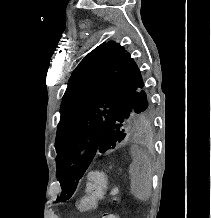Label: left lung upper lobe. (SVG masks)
Here are the masks:
<instances>
[{"label":"left lung upper lobe","instance_id":"obj_1","mask_svg":"<svg viewBox=\"0 0 211 218\" xmlns=\"http://www.w3.org/2000/svg\"><path fill=\"white\" fill-rule=\"evenodd\" d=\"M55 147L63 202L97 153L144 130L152 119L145 79L114 41L88 53L72 73L61 103Z\"/></svg>","mask_w":211,"mask_h":218}]
</instances>
